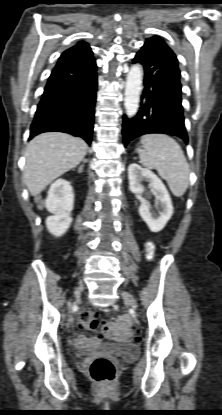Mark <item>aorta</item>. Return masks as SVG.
<instances>
[{"mask_svg": "<svg viewBox=\"0 0 222 415\" xmlns=\"http://www.w3.org/2000/svg\"><path fill=\"white\" fill-rule=\"evenodd\" d=\"M143 82V68L140 64L132 65L127 78L125 86V99L124 106L126 114L129 118L136 115L139 102L140 94L142 90Z\"/></svg>", "mask_w": 222, "mask_h": 415, "instance_id": "1", "label": "aorta"}]
</instances>
